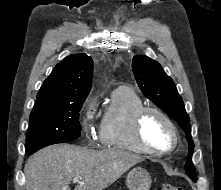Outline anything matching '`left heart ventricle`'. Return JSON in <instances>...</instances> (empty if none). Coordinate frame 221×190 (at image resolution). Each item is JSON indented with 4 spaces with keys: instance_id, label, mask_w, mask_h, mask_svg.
<instances>
[{
    "instance_id": "b2bd125f",
    "label": "left heart ventricle",
    "mask_w": 221,
    "mask_h": 190,
    "mask_svg": "<svg viewBox=\"0 0 221 190\" xmlns=\"http://www.w3.org/2000/svg\"><path fill=\"white\" fill-rule=\"evenodd\" d=\"M142 136L150 147L157 150L166 149L173 143V135L170 128L162 118L154 113H149L145 117Z\"/></svg>"
}]
</instances>
